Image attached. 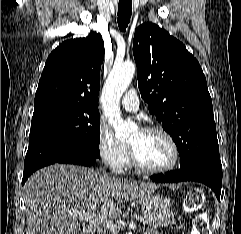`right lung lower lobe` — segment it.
<instances>
[{"instance_id":"1","label":"right lung lower lobe","mask_w":241,"mask_h":234,"mask_svg":"<svg viewBox=\"0 0 241 234\" xmlns=\"http://www.w3.org/2000/svg\"><path fill=\"white\" fill-rule=\"evenodd\" d=\"M97 159L98 157L65 140L49 139L32 143L25 156L22 184L33 172L44 166L55 163L91 166Z\"/></svg>"}]
</instances>
